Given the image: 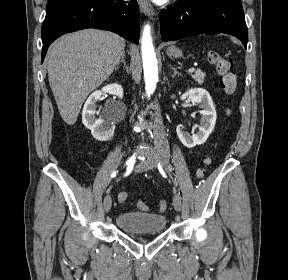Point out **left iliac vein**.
Listing matches in <instances>:
<instances>
[{
	"instance_id": "1",
	"label": "left iliac vein",
	"mask_w": 288,
	"mask_h": 280,
	"mask_svg": "<svg viewBox=\"0 0 288 280\" xmlns=\"http://www.w3.org/2000/svg\"><path fill=\"white\" fill-rule=\"evenodd\" d=\"M141 167L146 170H151V169L156 168V163L151 156H147L146 160L141 163ZM181 205H182L181 198L174 196L173 206L177 212L181 210Z\"/></svg>"
}]
</instances>
